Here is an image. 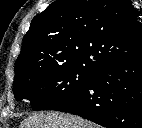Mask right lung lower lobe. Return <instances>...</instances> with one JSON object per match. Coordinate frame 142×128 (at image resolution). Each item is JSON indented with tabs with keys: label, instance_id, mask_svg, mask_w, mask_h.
I'll list each match as a JSON object with an SVG mask.
<instances>
[{
	"label": "right lung lower lobe",
	"instance_id": "right-lung-lower-lobe-1",
	"mask_svg": "<svg viewBox=\"0 0 142 128\" xmlns=\"http://www.w3.org/2000/svg\"><path fill=\"white\" fill-rule=\"evenodd\" d=\"M56 110L106 128H142V52L94 72L87 87Z\"/></svg>",
	"mask_w": 142,
	"mask_h": 128
}]
</instances>
